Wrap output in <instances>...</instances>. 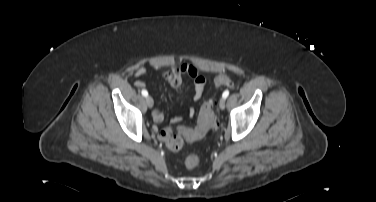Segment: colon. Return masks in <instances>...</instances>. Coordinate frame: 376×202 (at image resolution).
<instances>
[{
	"instance_id": "colon-1",
	"label": "colon",
	"mask_w": 376,
	"mask_h": 202,
	"mask_svg": "<svg viewBox=\"0 0 376 202\" xmlns=\"http://www.w3.org/2000/svg\"><path fill=\"white\" fill-rule=\"evenodd\" d=\"M217 87L228 86L232 84V77L228 74H221L215 78L214 81ZM215 104L213 101H207L200 109L197 125L191 130L187 131L181 127L178 128H163L160 131V138L166 146L173 151L182 148L184 138H199L204 136L215 123ZM183 165L187 169H194L199 166L200 158L194 153L187 154L182 159Z\"/></svg>"
}]
</instances>
